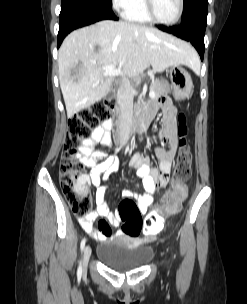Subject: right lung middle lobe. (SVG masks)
Listing matches in <instances>:
<instances>
[{"mask_svg": "<svg viewBox=\"0 0 247 304\" xmlns=\"http://www.w3.org/2000/svg\"><path fill=\"white\" fill-rule=\"evenodd\" d=\"M85 2H89V3H96V4H101V5H105L108 7H112V0H82Z\"/></svg>", "mask_w": 247, "mask_h": 304, "instance_id": "dd1d6c3e", "label": "right lung middle lobe"}]
</instances>
